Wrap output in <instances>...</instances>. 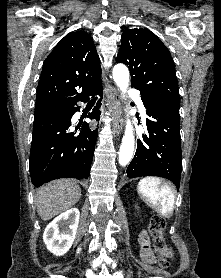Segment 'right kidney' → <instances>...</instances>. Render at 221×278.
I'll return each mask as SVG.
<instances>
[{"label": "right kidney", "mask_w": 221, "mask_h": 278, "mask_svg": "<svg viewBox=\"0 0 221 278\" xmlns=\"http://www.w3.org/2000/svg\"><path fill=\"white\" fill-rule=\"evenodd\" d=\"M80 212L71 208L56 217L45 229L43 241L47 249L62 256L71 248L78 228Z\"/></svg>", "instance_id": "right-kidney-1"}]
</instances>
